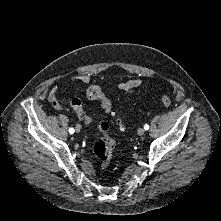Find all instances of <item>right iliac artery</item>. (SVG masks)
<instances>
[{"instance_id":"obj_1","label":"right iliac artery","mask_w":221,"mask_h":221,"mask_svg":"<svg viewBox=\"0 0 221 221\" xmlns=\"http://www.w3.org/2000/svg\"><path fill=\"white\" fill-rule=\"evenodd\" d=\"M69 133L73 134L74 133V129L73 128H69Z\"/></svg>"}]
</instances>
